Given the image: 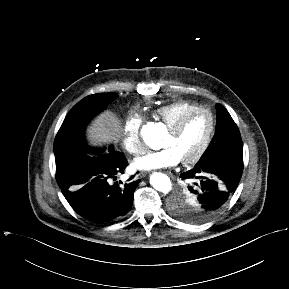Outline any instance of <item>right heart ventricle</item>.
Returning <instances> with one entry per match:
<instances>
[{
  "mask_svg": "<svg viewBox=\"0 0 289 289\" xmlns=\"http://www.w3.org/2000/svg\"><path fill=\"white\" fill-rule=\"evenodd\" d=\"M199 106L186 101L178 100L162 105L153 110L152 115L165 124L166 127L173 125L184 113L189 110L198 108Z\"/></svg>",
  "mask_w": 289,
  "mask_h": 289,
  "instance_id": "e07e8e85",
  "label": "right heart ventricle"
}]
</instances>
